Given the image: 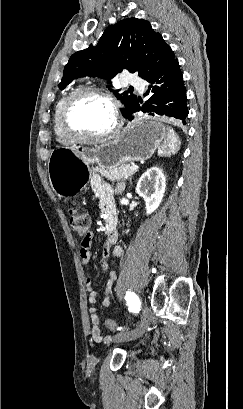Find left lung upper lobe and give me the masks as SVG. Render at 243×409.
I'll list each match as a JSON object with an SVG mask.
<instances>
[{
  "instance_id": "5c2ea615",
  "label": "left lung upper lobe",
  "mask_w": 243,
  "mask_h": 409,
  "mask_svg": "<svg viewBox=\"0 0 243 409\" xmlns=\"http://www.w3.org/2000/svg\"><path fill=\"white\" fill-rule=\"evenodd\" d=\"M126 60V58H128ZM175 59L161 34L146 20L128 18L108 27L96 47L75 52L64 67L58 87L64 89L74 79L84 76L111 79L123 69L148 79ZM115 95L125 105V115L135 104V95L127 92Z\"/></svg>"
}]
</instances>
